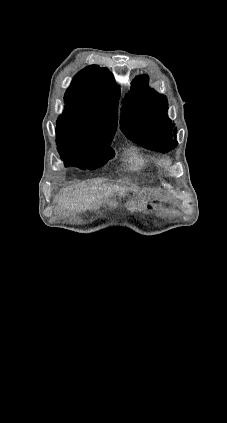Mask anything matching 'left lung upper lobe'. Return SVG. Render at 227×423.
<instances>
[{
    "label": "left lung upper lobe",
    "instance_id": "5c2ea615",
    "mask_svg": "<svg viewBox=\"0 0 227 423\" xmlns=\"http://www.w3.org/2000/svg\"><path fill=\"white\" fill-rule=\"evenodd\" d=\"M132 84L122 101L121 131L147 149L162 153L174 149L177 129L167 116L166 97L148 87L147 75L137 76Z\"/></svg>",
    "mask_w": 227,
    "mask_h": 423
}]
</instances>
